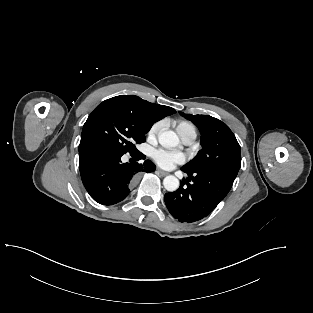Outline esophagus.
I'll use <instances>...</instances> for the list:
<instances>
[{"label":"esophagus","instance_id":"34e87169","mask_svg":"<svg viewBox=\"0 0 313 313\" xmlns=\"http://www.w3.org/2000/svg\"><path fill=\"white\" fill-rule=\"evenodd\" d=\"M157 173L160 175V176H167L168 173L163 171V170H160V169H157Z\"/></svg>","mask_w":313,"mask_h":313}]
</instances>
